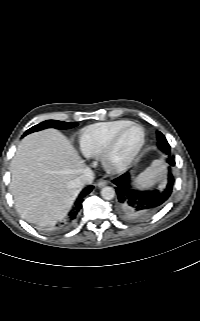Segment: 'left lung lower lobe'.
<instances>
[{
  "label": "left lung lower lobe",
  "instance_id": "obj_1",
  "mask_svg": "<svg viewBox=\"0 0 200 321\" xmlns=\"http://www.w3.org/2000/svg\"><path fill=\"white\" fill-rule=\"evenodd\" d=\"M170 167L175 165L174 157L170 156V147L164 152ZM169 167V170H170ZM116 185L118 210L123 219L130 222H140L148 219L158 211L170 197L173 189L174 178L169 172L168 183L164 189L140 191L131 185V176L125 173L112 181Z\"/></svg>",
  "mask_w": 200,
  "mask_h": 321
}]
</instances>
